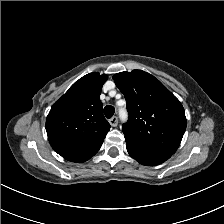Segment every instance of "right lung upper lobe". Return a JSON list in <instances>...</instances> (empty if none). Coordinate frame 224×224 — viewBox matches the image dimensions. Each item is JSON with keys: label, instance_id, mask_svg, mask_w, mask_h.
I'll use <instances>...</instances> for the list:
<instances>
[{"label": "right lung upper lobe", "instance_id": "1", "mask_svg": "<svg viewBox=\"0 0 224 224\" xmlns=\"http://www.w3.org/2000/svg\"><path fill=\"white\" fill-rule=\"evenodd\" d=\"M107 78L94 72L76 81L51 107L46 119L48 137L65 136L88 149L102 145L110 129L100 101Z\"/></svg>", "mask_w": 224, "mask_h": 224}]
</instances>
